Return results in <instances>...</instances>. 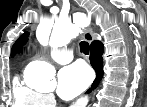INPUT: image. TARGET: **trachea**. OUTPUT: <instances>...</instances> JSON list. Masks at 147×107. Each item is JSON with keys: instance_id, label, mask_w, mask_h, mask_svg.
Instances as JSON below:
<instances>
[{"instance_id": "obj_1", "label": "trachea", "mask_w": 147, "mask_h": 107, "mask_svg": "<svg viewBox=\"0 0 147 107\" xmlns=\"http://www.w3.org/2000/svg\"><path fill=\"white\" fill-rule=\"evenodd\" d=\"M89 44L86 41L80 42V50L84 52V54L88 55L89 54Z\"/></svg>"}]
</instances>
